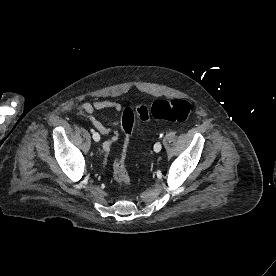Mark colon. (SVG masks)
Returning a JSON list of instances; mask_svg holds the SVG:
<instances>
[{
    "mask_svg": "<svg viewBox=\"0 0 276 276\" xmlns=\"http://www.w3.org/2000/svg\"><path fill=\"white\" fill-rule=\"evenodd\" d=\"M193 111L192 104L183 99L157 100L150 106L140 104L135 110L125 108L122 110V126L126 133H131L135 116L141 121L150 120H168L172 122H183L191 115ZM113 177L115 182L123 187L131 185V179L128 174L127 161L121 158L114 167Z\"/></svg>",
    "mask_w": 276,
    "mask_h": 276,
    "instance_id": "colon-1",
    "label": "colon"
}]
</instances>
